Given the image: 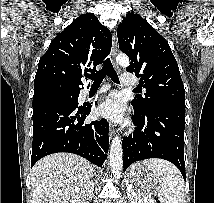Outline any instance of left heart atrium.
Masks as SVG:
<instances>
[{"mask_svg":"<svg viewBox=\"0 0 214 203\" xmlns=\"http://www.w3.org/2000/svg\"><path fill=\"white\" fill-rule=\"evenodd\" d=\"M123 103L117 94H111L100 106L101 116L112 121H119L123 116Z\"/></svg>","mask_w":214,"mask_h":203,"instance_id":"1","label":"left heart atrium"}]
</instances>
